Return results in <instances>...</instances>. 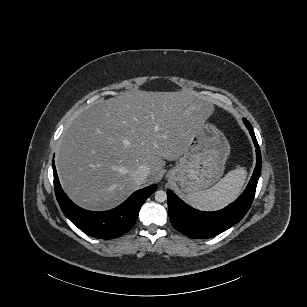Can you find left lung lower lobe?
I'll list each match as a JSON object with an SVG mask.
<instances>
[{
	"label": "left lung lower lobe",
	"instance_id": "1",
	"mask_svg": "<svg viewBox=\"0 0 307 307\" xmlns=\"http://www.w3.org/2000/svg\"><path fill=\"white\" fill-rule=\"evenodd\" d=\"M246 127L256 147L257 163L248 186L235 202L219 211L202 212L185 204L171 190L167 191L171 224L182 234L199 239L216 236L239 222L249 210L261 173V152L251 124Z\"/></svg>",
	"mask_w": 307,
	"mask_h": 307
}]
</instances>
